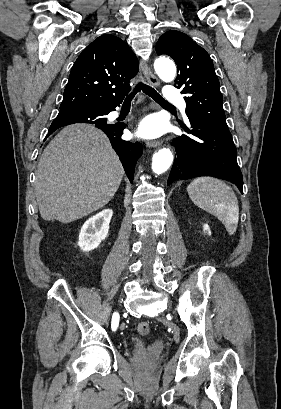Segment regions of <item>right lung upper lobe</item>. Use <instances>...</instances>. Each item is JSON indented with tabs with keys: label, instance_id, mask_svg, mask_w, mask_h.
Segmentation results:
<instances>
[{
	"label": "right lung upper lobe",
	"instance_id": "right-lung-upper-lobe-1",
	"mask_svg": "<svg viewBox=\"0 0 281 409\" xmlns=\"http://www.w3.org/2000/svg\"><path fill=\"white\" fill-rule=\"evenodd\" d=\"M138 60L120 38L104 34L79 55L70 72L60 108L118 106L138 72Z\"/></svg>",
	"mask_w": 281,
	"mask_h": 409
}]
</instances>
